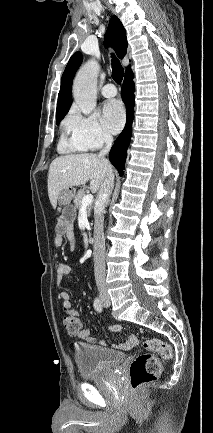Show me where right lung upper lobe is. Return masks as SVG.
<instances>
[{
	"mask_svg": "<svg viewBox=\"0 0 213 433\" xmlns=\"http://www.w3.org/2000/svg\"><path fill=\"white\" fill-rule=\"evenodd\" d=\"M105 45L113 46L119 58L123 59L127 52V38L125 29L117 16H112L105 35ZM82 63V54L76 52L70 58L61 78L58 94L56 120H61L69 111L72 104V82L74 75ZM130 67L127 69L129 70Z\"/></svg>",
	"mask_w": 213,
	"mask_h": 433,
	"instance_id": "1",
	"label": "right lung upper lobe"
}]
</instances>
